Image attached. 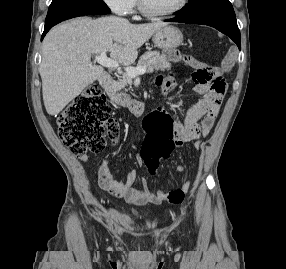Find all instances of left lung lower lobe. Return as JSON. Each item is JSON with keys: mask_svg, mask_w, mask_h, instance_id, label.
<instances>
[{"mask_svg": "<svg viewBox=\"0 0 286 269\" xmlns=\"http://www.w3.org/2000/svg\"><path fill=\"white\" fill-rule=\"evenodd\" d=\"M167 22H181L188 24H203L214 27L229 36L241 48L240 31L235 17L231 16H198L183 18L177 15L175 18L165 20Z\"/></svg>", "mask_w": 286, "mask_h": 269, "instance_id": "1", "label": "left lung lower lobe"}]
</instances>
